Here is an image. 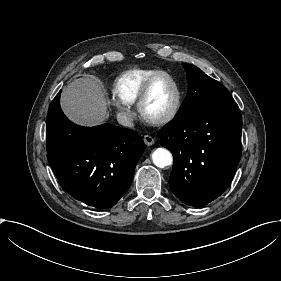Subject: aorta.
<instances>
[{
  "label": "aorta",
  "mask_w": 281,
  "mask_h": 281,
  "mask_svg": "<svg viewBox=\"0 0 281 281\" xmlns=\"http://www.w3.org/2000/svg\"><path fill=\"white\" fill-rule=\"evenodd\" d=\"M152 161L157 167L164 168L172 164L173 157L169 150L165 148H157L152 153Z\"/></svg>",
  "instance_id": "1"
}]
</instances>
